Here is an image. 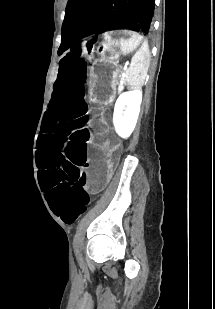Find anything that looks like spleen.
<instances>
[{
  "mask_svg": "<svg viewBox=\"0 0 215 309\" xmlns=\"http://www.w3.org/2000/svg\"><path fill=\"white\" fill-rule=\"evenodd\" d=\"M149 64L150 50L147 40H144L142 46L132 56L131 64L126 70V80L131 88H140L144 84Z\"/></svg>",
  "mask_w": 215,
  "mask_h": 309,
  "instance_id": "obj_1",
  "label": "spleen"
}]
</instances>
